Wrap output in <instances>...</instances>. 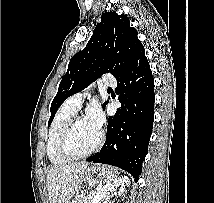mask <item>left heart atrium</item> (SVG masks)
I'll return each instance as SVG.
<instances>
[{
	"instance_id": "obj_1",
	"label": "left heart atrium",
	"mask_w": 214,
	"mask_h": 203,
	"mask_svg": "<svg viewBox=\"0 0 214 203\" xmlns=\"http://www.w3.org/2000/svg\"><path fill=\"white\" fill-rule=\"evenodd\" d=\"M94 128L100 130L104 123V116L100 106L97 103L91 105L85 118Z\"/></svg>"
}]
</instances>
